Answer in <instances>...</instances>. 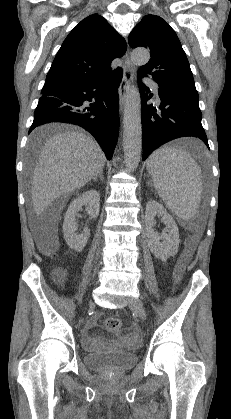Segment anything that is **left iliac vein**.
Segmentation results:
<instances>
[{
  "label": "left iliac vein",
  "instance_id": "left-iliac-vein-1",
  "mask_svg": "<svg viewBox=\"0 0 231 419\" xmlns=\"http://www.w3.org/2000/svg\"><path fill=\"white\" fill-rule=\"evenodd\" d=\"M129 307H130L131 310H133L139 316V318L141 320H146L147 314H146L143 302L140 298L132 301L129 304Z\"/></svg>",
  "mask_w": 231,
  "mask_h": 419
}]
</instances>
